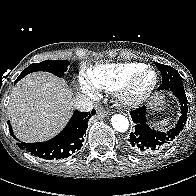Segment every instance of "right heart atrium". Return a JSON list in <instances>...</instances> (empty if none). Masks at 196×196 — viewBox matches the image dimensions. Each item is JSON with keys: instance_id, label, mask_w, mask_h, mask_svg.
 <instances>
[{"instance_id": "right-heart-atrium-1", "label": "right heart atrium", "mask_w": 196, "mask_h": 196, "mask_svg": "<svg viewBox=\"0 0 196 196\" xmlns=\"http://www.w3.org/2000/svg\"><path fill=\"white\" fill-rule=\"evenodd\" d=\"M80 84H81V87L84 91H86L88 93L93 92V87L91 86V84L88 82V80L86 78L80 77Z\"/></svg>"}]
</instances>
